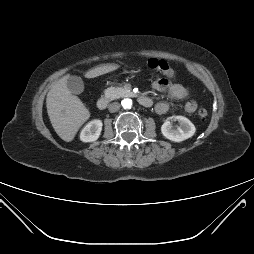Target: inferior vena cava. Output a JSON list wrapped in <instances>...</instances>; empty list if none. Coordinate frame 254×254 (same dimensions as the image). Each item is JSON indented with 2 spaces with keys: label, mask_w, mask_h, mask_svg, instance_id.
Segmentation results:
<instances>
[{
  "label": "inferior vena cava",
  "mask_w": 254,
  "mask_h": 254,
  "mask_svg": "<svg viewBox=\"0 0 254 254\" xmlns=\"http://www.w3.org/2000/svg\"><path fill=\"white\" fill-rule=\"evenodd\" d=\"M120 109V103L118 102H113L111 104H109L108 106V110L111 113L117 112Z\"/></svg>",
  "instance_id": "inferior-vena-cava-1"
}]
</instances>
